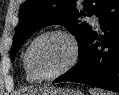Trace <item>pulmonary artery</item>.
I'll use <instances>...</instances> for the list:
<instances>
[{
  "instance_id": "e3ab8cb5",
  "label": "pulmonary artery",
  "mask_w": 119,
  "mask_h": 95,
  "mask_svg": "<svg viewBox=\"0 0 119 95\" xmlns=\"http://www.w3.org/2000/svg\"><path fill=\"white\" fill-rule=\"evenodd\" d=\"M90 22L94 25V26H98V17L96 15H92L90 18Z\"/></svg>"
}]
</instances>
